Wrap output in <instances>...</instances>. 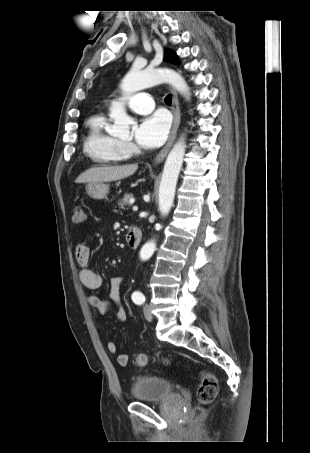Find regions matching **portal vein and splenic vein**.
I'll use <instances>...</instances> for the list:
<instances>
[{
  "instance_id": "1",
  "label": "portal vein and splenic vein",
  "mask_w": 310,
  "mask_h": 453,
  "mask_svg": "<svg viewBox=\"0 0 310 453\" xmlns=\"http://www.w3.org/2000/svg\"><path fill=\"white\" fill-rule=\"evenodd\" d=\"M133 211H137L138 210V207L137 206H133Z\"/></svg>"
}]
</instances>
